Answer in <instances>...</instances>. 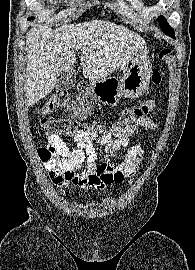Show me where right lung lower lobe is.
I'll list each match as a JSON object with an SVG mask.
<instances>
[{"label": "right lung lower lobe", "mask_w": 195, "mask_h": 270, "mask_svg": "<svg viewBox=\"0 0 195 270\" xmlns=\"http://www.w3.org/2000/svg\"><path fill=\"white\" fill-rule=\"evenodd\" d=\"M32 19H33V17H29V18H28V20H32Z\"/></svg>", "instance_id": "obj_1"}]
</instances>
